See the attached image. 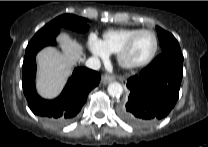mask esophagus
<instances>
[{
	"instance_id": "1",
	"label": "esophagus",
	"mask_w": 208,
	"mask_h": 147,
	"mask_svg": "<svg viewBox=\"0 0 208 147\" xmlns=\"http://www.w3.org/2000/svg\"><path fill=\"white\" fill-rule=\"evenodd\" d=\"M114 79H115V78H114L113 75L105 74V75L102 77V82H103L104 84H108V83L114 81Z\"/></svg>"
}]
</instances>
